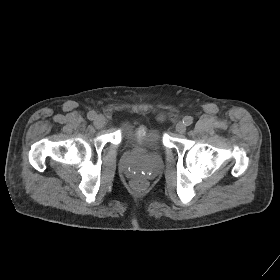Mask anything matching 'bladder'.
<instances>
[{
  "instance_id": "31cf9c89",
  "label": "bladder",
  "mask_w": 280,
  "mask_h": 280,
  "mask_svg": "<svg viewBox=\"0 0 280 280\" xmlns=\"http://www.w3.org/2000/svg\"><path fill=\"white\" fill-rule=\"evenodd\" d=\"M123 138L128 145H139L154 150L162 148V137L158 129L147 126H135L127 123L123 128Z\"/></svg>"
}]
</instances>
